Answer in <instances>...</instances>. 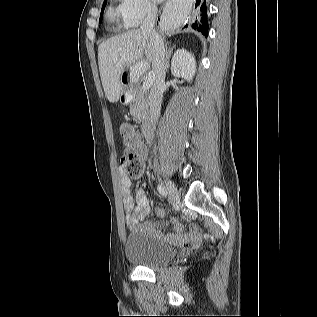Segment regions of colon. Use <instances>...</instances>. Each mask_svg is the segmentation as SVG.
Instances as JSON below:
<instances>
[{
	"mask_svg": "<svg viewBox=\"0 0 317 317\" xmlns=\"http://www.w3.org/2000/svg\"><path fill=\"white\" fill-rule=\"evenodd\" d=\"M120 131L125 146V152L121 160L122 165L128 176L137 178L142 173V157L139 139L129 125L123 124Z\"/></svg>",
	"mask_w": 317,
	"mask_h": 317,
	"instance_id": "obj_1",
	"label": "colon"
}]
</instances>
